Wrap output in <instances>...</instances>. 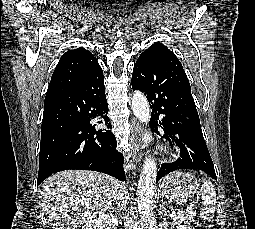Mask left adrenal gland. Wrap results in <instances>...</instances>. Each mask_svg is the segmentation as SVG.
I'll return each instance as SVG.
<instances>
[{
    "instance_id": "a2214340",
    "label": "left adrenal gland",
    "mask_w": 255,
    "mask_h": 229,
    "mask_svg": "<svg viewBox=\"0 0 255 229\" xmlns=\"http://www.w3.org/2000/svg\"><path fill=\"white\" fill-rule=\"evenodd\" d=\"M159 209H160V213L164 212L165 214H167L165 204H164L162 199H161V202L159 204Z\"/></svg>"
}]
</instances>
